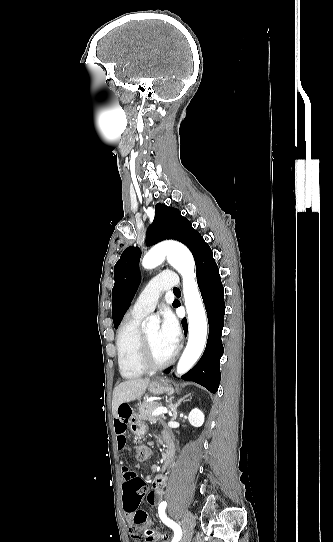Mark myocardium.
Returning <instances> with one entry per match:
<instances>
[{"label": "myocardium", "mask_w": 333, "mask_h": 542, "mask_svg": "<svg viewBox=\"0 0 333 542\" xmlns=\"http://www.w3.org/2000/svg\"><path fill=\"white\" fill-rule=\"evenodd\" d=\"M177 355L178 349H176L173 354L164 361L159 362L154 360L146 334H141L137 348V361L143 370L158 371L164 369L175 361Z\"/></svg>", "instance_id": "obj_1"}]
</instances>
